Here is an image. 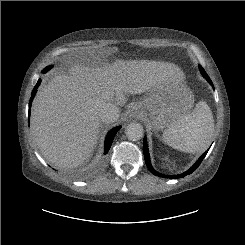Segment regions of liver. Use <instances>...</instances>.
I'll use <instances>...</instances> for the list:
<instances>
[{"label": "liver", "mask_w": 245, "mask_h": 245, "mask_svg": "<svg viewBox=\"0 0 245 245\" xmlns=\"http://www.w3.org/2000/svg\"><path fill=\"white\" fill-rule=\"evenodd\" d=\"M182 76L180 68L166 62L74 64L68 74L54 76L33 101L31 130L35 145L56 167H77L89 159L97 143L100 102L123 106L125 94H141L166 78Z\"/></svg>", "instance_id": "obj_1"}]
</instances>
